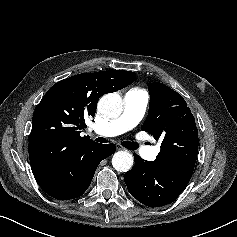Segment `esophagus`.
<instances>
[{"label":"esophagus","instance_id":"34e87169","mask_svg":"<svg viewBox=\"0 0 237 237\" xmlns=\"http://www.w3.org/2000/svg\"><path fill=\"white\" fill-rule=\"evenodd\" d=\"M117 150H125V148L122 145L117 144Z\"/></svg>","mask_w":237,"mask_h":237}]
</instances>
